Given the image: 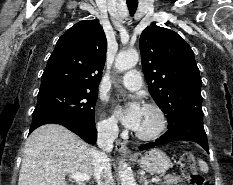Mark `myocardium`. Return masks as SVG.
<instances>
[{"mask_svg":"<svg viewBox=\"0 0 233 185\" xmlns=\"http://www.w3.org/2000/svg\"><path fill=\"white\" fill-rule=\"evenodd\" d=\"M144 109L155 112L159 118V125L155 131L149 134H141L135 131V136L143 141H152L158 139L166 130L168 120L164 110L156 104L147 103L144 105Z\"/></svg>","mask_w":233,"mask_h":185,"instance_id":"obj_1","label":"myocardium"}]
</instances>
